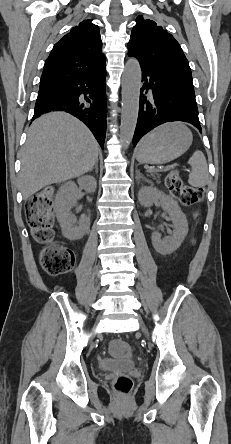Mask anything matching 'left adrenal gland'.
Returning <instances> with one entry per match:
<instances>
[{
  "label": "left adrenal gland",
  "instance_id": "1",
  "mask_svg": "<svg viewBox=\"0 0 231 444\" xmlns=\"http://www.w3.org/2000/svg\"><path fill=\"white\" fill-rule=\"evenodd\" d=\"M140 179L145 180L149 182L141 173L139 170H136V180L139 181Z\"/></svg>",
  "mask_w": 231,
  "mask_h": 444
}]
</instances>
